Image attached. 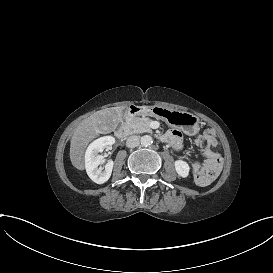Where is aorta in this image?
<instances>
[{
    "label": "aorta",
    "mask_w": 273,
    "mask_h": 273,
    "mask_svg": "<svg viewBox=\"0 0 273 273\" xmlns=\"http://www.w3.org/2000/svg\"><path fill=\"white\" fill-rule=\"evenodd\" d=\"M152 142H153V139L150 135H144L140 139L141 145L145 147L150 146Z\"/></svg>",
    "instance_id": "aorta-1"
}]
</instances>
